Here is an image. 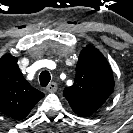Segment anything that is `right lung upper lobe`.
Instances as JSON below:
<instances>
[{"label": "right lung upper lobe", "mask_w": 133, "mask_h": 133, "mask_svg": "<svg viewBox=\"0 0 133 133\" xmlns=\"http://www.w3.org/2000/svg\"><path fill=\"white\" fill-rule=\"evenodd\" d=\"M44 93L23 77L17 58L6 54L0 59V111L16 120L25 118Z\"/></svg>", "instance_id": "right-lung-upper-lobe-1"}]
</instances>
